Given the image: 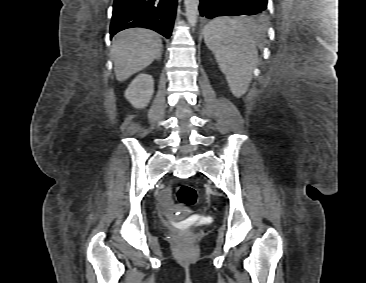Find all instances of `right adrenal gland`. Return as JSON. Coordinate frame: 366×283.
Returning a JSON list of instances; mask_svg holds the SVG:
<instances>
[{
    "label": "right adrenal gland",
    "mask_w": 366,
    "mask_h": 283,
    "mask_svg": "<svg viewBox=\"0 0 366 283\" xmlns=\"http://www.w3.org/2000/svg\"><path fill=\"white\" fill-rule=\"evenodd\" d=\"M157 59H158V60H160V59H161V54L157 57Z\"/></svg>",
    "instance_id": "right-adrenal-gland-1"
}]
</instances>
